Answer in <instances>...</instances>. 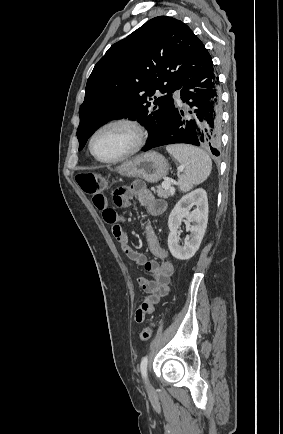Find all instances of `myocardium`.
<instances>
[{
	"mask_svg": "<svg viewBox=\"0 0 283 434\" xmlns=\"http://www.w3.org/2000/svg\"><path fill=\"white\" fill-rule=\"evenodd\" d=\"M117 125H122V126H126L128 128H130L134 134V142L132 147L125 152L124 154L115 157V158H101L99 156L96 155V153L94 152L93 149V142L95 137L98 135L99 132H101L102 130L111 127V126H117ZM147 130L145 128V126L136 118L133 117H128V116H123V117H117V118H113L110 119L108 121H105L104 123H102L101 125H99L91 134L89 141H88V148L89 151L91 153V155L99 162L102 163H117L120 161H123L129 157H131L132 155L136 154L138 151H140L146 141H147Z\"/></svg>",
	"mask_w": 283,
	"mask_h": 434,
	"instance_id": "1",
	"label": "myocardium"
}]
</instances>
